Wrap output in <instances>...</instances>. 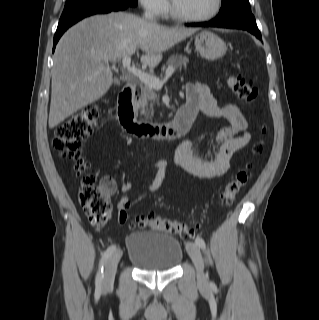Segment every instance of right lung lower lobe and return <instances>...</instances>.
<instances>
[{
    "mask_svg": "<svg viewBox=\"0 0 319 320\" xmlns=\"http://www.w3.org/2000/svg\"><path fill=\"white\" fill-rule=\"evenodd\" d=\"M132 6L129 4H116V3H109V4H103V5H98V6H94L88 9H85L81 12H78L72 16H70L69 18L63 20V21H59L55 36H54V46H53V51L55 50V46L58 42V40L60 39V37L62 36V34L73 24H75L76 22H78L79 20L90 16V15H94V14H99V13H109L111 11H120V10H124L127 7Z\"/></svg>",
    "mask_w": 319,
    "mask_h": 320,
    "instance_id": "98d812e1",
    "label": "right lung lower lobe"
}]
</instances>
